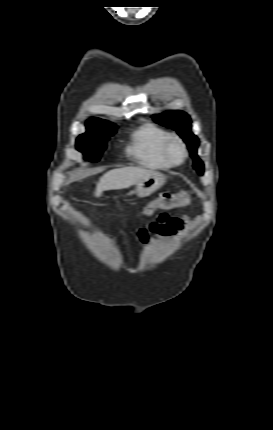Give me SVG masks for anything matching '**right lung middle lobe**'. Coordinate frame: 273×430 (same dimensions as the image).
Listing matches in <instances>:
<instances>
[{
    "label": "right lung middle lobe",
    "instance_id": "obj_1",
    "mask_svg": "<svg viewBox=\"0 0 273 430\" xmlns=\"http://www.w3.org/2000/svg\"><path fill=\"white\" fill-rule=\"evenodd\" d=\"M86 127L87 132L77 138L76 147L83 152L86 159L97 162L107 146V141L116 133L117 126L104 128L86 125Z\"/></svg>",
    "mask_w": 273,
    "mask_h": 430
}]
</instances>
